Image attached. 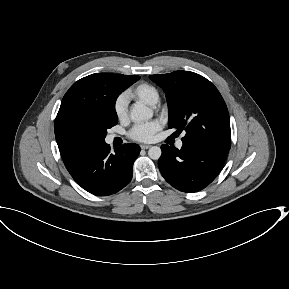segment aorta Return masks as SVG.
<instances>
[{"label": "aorta", "instance_id": "obj_1", "mask_svg": "<svg viewBox=\"0 0 289 289\" xmlns=\"http://www.w3.org/2000/svg\"><path fill=\"white\" fill-rule=\"evenodd\" d=\"M153 112L150 108L143 104L135 105L130 111V118L135 123H141L152 118ZM162 151L158 146L149 148L148 155L153 160H158L161 157Z\"/></svg>", "mask_w": 289, "mask_h": 289}]
</instances>
